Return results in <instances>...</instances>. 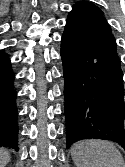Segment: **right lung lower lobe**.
Here are the masks:
<instances>
[{"mask_svg":"<svg viewBox=\"0 0 125 167\" xmlns=\"http://www.w3.org/2000/svg\"><path fill=\"white\" fill-rule=\"evenodd\" d=\"M14 73L9 58L0 52V147L18 150Z\"/></svg>","mask_w":125,"mask_h":167,"instance_id":"98d812e1","label":"right lung lower lobe"}]
</instances>
